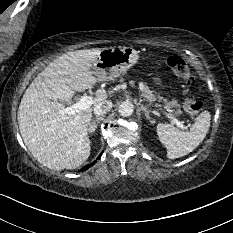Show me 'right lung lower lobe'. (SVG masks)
I'll list each match as a JSON object with an SVG mask.
<instances>
[{"instance_id": "98d812e1", "label": "right lung lower lobe", "mask_w": 233, "mask_h": 233, "mask_svg": "<svg viewBox=\"0 0 233 233\" xmlns=\"http://www.w3.org/2000/svg\"><path fill=\"white\" fill-rule=\"evenodd\" d=\"M101 155H102V153L98 156L97 159H99V158L101 157ZM95 163H96V160L93 161L90 165L84 166L80 171H84V170L88 169L90 166H92V165L95 164Z\"/></svg>"}]
</instances>
